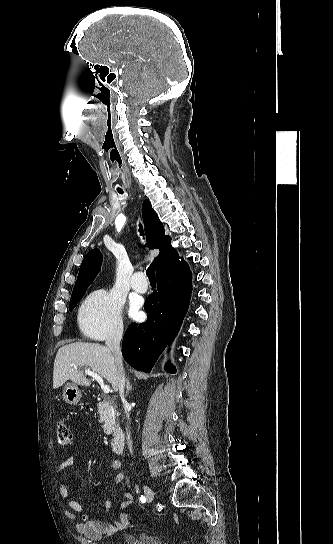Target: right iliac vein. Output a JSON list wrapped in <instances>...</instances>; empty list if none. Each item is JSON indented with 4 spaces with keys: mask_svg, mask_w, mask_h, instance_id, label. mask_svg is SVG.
Segmentation results:
<instances>
[{
    "mask_svg": "<svg viewBox=\"0 0 333 544\" xmlns=\"http://www.w3.org/2000/svg\"><path fill=\"white\" fill-rule=\"evenodd\" d=\"M143 489L147 498V502L151 503L154 500V492L147 485H143Z\"/></svg>",
    "mask_w": 333,
    "mask_h": 544,
    "instance_id": "right-iliac-vein-1",
    "label": "right iliac vein"
}]
</instances>
